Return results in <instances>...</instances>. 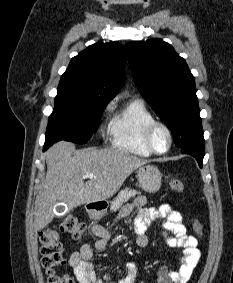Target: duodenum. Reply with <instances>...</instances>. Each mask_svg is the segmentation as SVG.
<instances>
[{
	"label": "duodenum",
	"instance_id": "410a0bca",
	"mask_svg": "<svg viewBox=\"0 0 233 283\" xmlns=\"http://www.w3.org/2000/svg\"><path fill=\"white\" fill-rule=\"evenodd\" d=\"M90 211L93 213L101 212L106 208L104 202H96L90 205Z\"/></svg>",
	"mask_w": 233,
	"mask_h": 283
}]
</instances>
